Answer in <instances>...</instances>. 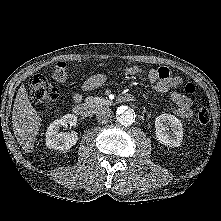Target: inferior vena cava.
I'll list each match as a JSON object with an SVG mask.
<instances>
[{
  "instance_id": "602c4592",
  "label": "inferior vena cava",
  "mask_w": 221,
  "mask_h": 221,
  "mask_svg": "<svg viewBox=\"0 0 221 221\" xmlns=\"http://www.w3.org/2000/svg\"><path fill=\"white\" fill-rule=\"evenodd\" d=\"M112 116V110L109 107L101 106L96 110V117L102 124L108 123Z\"/></svg>"
}]
</instances>
